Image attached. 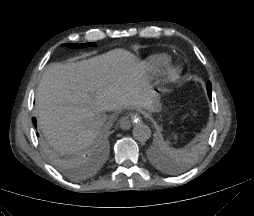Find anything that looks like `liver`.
I'll list each match as a JSON object with an SVG mask.
<instances>
[{
  "label": "liver",
  "instance_id": "liver-1",
  "mask_svg": "<svg viewBox=\"0 0 254 216\" xmlns=\"http://www.w3.org/2000/svg\"><path fill=\"white\" fill-rule=\"evenodd\" d=\"M141 67L133 54L121 49L76 63L51 64L36 91L38 123L48 144L60 153H74L111 127L114 115L107 112L152 110ZM98 114L107 117L100 130L92 124Z\"/></svg>",
  "mask_w": 254,
  "mask_h": 216
}]
</instances>
